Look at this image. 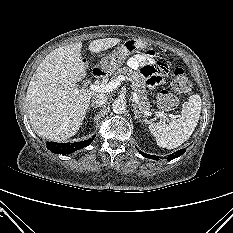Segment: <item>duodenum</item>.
<instances>
[{
    "label": "duodenum",
    "mask_w": 233,
    "mask_h": 233,
    "mask_svg": "<svg viewBox=\"0 0 233 233\" xmlns=\"http://www.w3.org/2000/svg\"><path fill=\"white\" fill-rule=\"evenodd\" d=\"M93 75H94V76H100V75H101L100 70L94 69V70H93Z\"/></svg>",
    "instance_id": "duodenum-1"
}]
</instances>
